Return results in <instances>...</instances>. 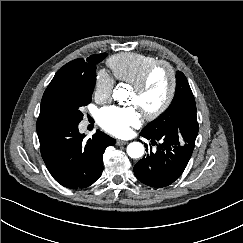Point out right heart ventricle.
I'll list each match as a JSON object with an SVG mask.
<instances>
[{
  "label": "right heart ventricle",
  "instance_id": "right-heart-ventricle-1",
  "mask_svg": "<svg viewBox=\"0 0 243 243\" xmlns=\"http://www.w3.org/2000/svg\"><path fill=\"white\" fill-rule=\"evenodd\" d=\"M154 61L156 58L150 55L125 52L110 57L107 65L116 80L132 83Z\"/></svg>",
  "mask_w": 243,
  "mask_h": 243
}]
</instances>
